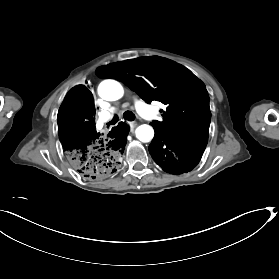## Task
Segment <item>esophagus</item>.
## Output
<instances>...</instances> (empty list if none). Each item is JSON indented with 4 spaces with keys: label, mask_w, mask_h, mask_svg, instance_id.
I'll return each instance as SVG.
<instances>
[{
    "label": "esophagus",
    "mask_w": 279,
    "mask_h": 279,
    "mask_svg": "<svg viewBox=\"0 0 279 279\" xmlns=\"http://www.w3.org/2000/svg\"><path fill=\"white\" fill-rule=\"evenodd\" d=\"M130 128H135L137 126V122H129Z\"/></svg>",
    "instance_id": "34e87169"
}]
</instances>
